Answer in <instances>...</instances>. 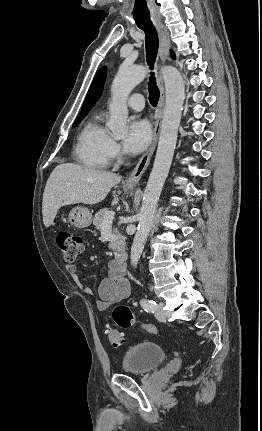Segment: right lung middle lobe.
I'll list each match as a JSON object with an SVG mask.
<instances>
[{
    "instance_id": "right-lung-middle-lobe-1",
    "label": "right lung middle lobe",
    "mask_w": 262,
    "mask_h": 431,
    "mask_svg": "<svg viewBox=\"0 0 262 431\" xmlns=\"http://www.w3.org/2000/svg\"><path fill=\"white\" fill-rule=\"evenodd\" d=\"M85 116H78L77 118H76V120H75V122H74V124H73V128L74 127H76L78 124H79V122L84 118Z\"/></svg>"
}]
</instances>
